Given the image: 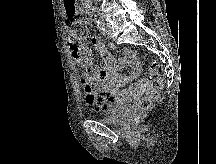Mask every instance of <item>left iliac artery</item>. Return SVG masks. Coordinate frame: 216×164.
Returning <instances> with one entry per match:
<instances>
[{
  "mask_svg": "<svg viewBox=\"0 0 216 164\" xmlns=\"http://www.w3.org/2000/svg\"><path fill=\"white\" fill-rule=\"evenodd\" d=\"M96 23L98 25V28L102 31L105 32L106 31V23L101 20L100 18L96 19Z\"/></svg>",
  "mask_w": 216,
  "mask_h": 164,
  "instance_id": "obj_1",
  "label": "left iliac artery"
}]
</instances>
